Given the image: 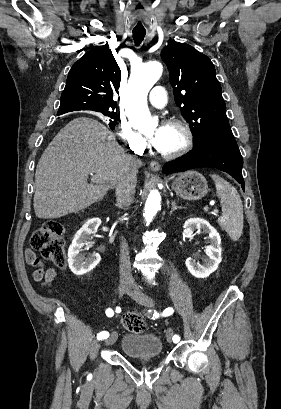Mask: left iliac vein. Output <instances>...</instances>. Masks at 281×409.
Segmentation results:
<instances>
[{
	"label": "left iliac vein",
	"mask_w": 281,
	"mask_h": 409,
	"mask_svg": "<svg viewBox=\"0 0 281 409\" xmlns=\"http://www.w3.org/2000/svg\"><path fill=\"white\" fill-rule=\"evenodd\" d=\"M128 295L133 298L136 302H138L141 305L148 306V307H153L154 306V301L151 297L147 296L144 294L139 287L136 284H131L129 286V289L127 290ZM166 338L168 342H172L173 340V330L168 329L166 332Z\"/></svg>",
	"instance_id": "obj_1"
}]
</instances>
